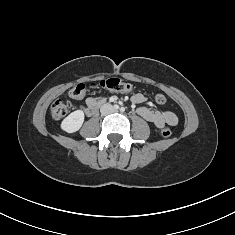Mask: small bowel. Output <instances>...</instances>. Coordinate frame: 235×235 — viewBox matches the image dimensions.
<instances>
[{
	"mask_svg": "<svg viewBox=\"0 0 235 235\" xmlns=\"http://www.w3.org/2000/svg\"><path fill=\"white\" fill-rule=\"evenodd\" d=\"M132 101L141 106L137 109V113L145 120L153 123L158 128H163L165 125L175 126L178 124V116L172 111L154 110L146 105L147 99L142 94H135ZM104 98L101 96H90L86 99L83 108L87 109L97 103H103Z\"/></svg>",
	"mask_w": 235,
	"mask_h": 235,
	"instance_id": "small-bowel-1",
	"label": "small bowel"
}]
</instances>
